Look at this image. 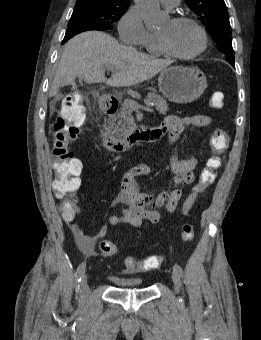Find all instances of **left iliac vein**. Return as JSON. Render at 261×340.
Listing matches in <instances>:
<instances>
[{
  "instance_id": "obj_1",
  "label": "left iliac vein",
  "mask_w": 261,
  "mask_h": 340,
  "mask_svg": "<svg viewBox=\"0 0 261 340\" xmlns=\"http://www.w3.org/2000/svg\"><path fill=\"white\" fill-rule=\"evenodd\" d=\"M171 278L174 284L175 292L179 293L180 288H181V281H180L179 275L175 271H173Z\"/></svg>"
}]
</instances>
